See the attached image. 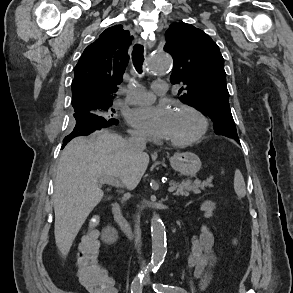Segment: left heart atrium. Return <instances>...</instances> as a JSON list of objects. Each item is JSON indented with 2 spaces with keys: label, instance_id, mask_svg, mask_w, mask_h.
I'll list each match as a JSON object with an SVG mask.
<instances>
[{
  "label": "left heart atrium",
  "instance_id": "obj_1",
  "mask_svg": "<svg viewBox=\"0 0 293 293\" xmlns=\"http://www.w3.org/2000/svg\"><path fill=\"white\" fill-rule=\"evenodd\" d=\"M128 122L152 137L166 138L173 117L166 106H145L130 109L126 114Z\"/></svg>",
  "mask_w": 293,
  "mask_h": 293
}]
</instances>
